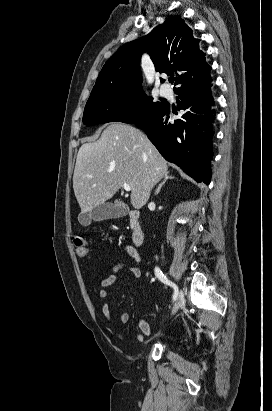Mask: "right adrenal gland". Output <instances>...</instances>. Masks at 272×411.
Returning <instances> with one entry per match:
<instances>
[{
    "instance_id": "obj_1",
    "label": "right adrenal gland",
    "mask_w": 272,
    "mask_h": 411,
    "mask_svg": "<svg viewBox=\"0 0 272 411\" xmlns=\"http://www.w3.org/2000/svg\"><path fill=\"white\" fill-rule=\"evenodd\" d=\"M174 178H175L174 176H171V175L169 174V172H167V173L164 175L163 181L159 184V186H158L155 194H158V193L160 192L162 186H163L168 180H171V179H174Z\"/></svg>"
}]
</instances>
